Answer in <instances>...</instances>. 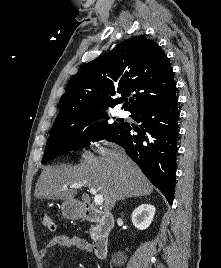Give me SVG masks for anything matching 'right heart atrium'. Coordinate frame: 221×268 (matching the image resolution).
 <instances>
[{"label":"right heart atrium","instance_id":"obj_1","mask_svg":"<svg viewBox=\"0 0 221 268\" xmlns=\"http://www.w3.org/2000/svg\"><path fill=\"white\" fill-rule=\"evenodd\" d=\"M84 147L88 151L94 150L103 140V131L96 122L88 123L83 128Z\"/></svg>","mask_w":221,"mask_h":268}]
</instances>
